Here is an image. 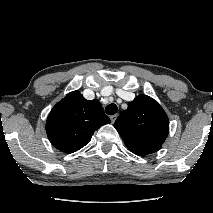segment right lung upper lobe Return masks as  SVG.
Here are the masks:
<instances>
[{"label": "right lung upper lobe", "mask_w": 213, "mask_h": 213, "mask_svg": "<svg viewBox=\"0 0 213 213\" xmlns=\"http://www.w3.org/2000/svg\"><path fill=\"white\" fill-rule=\"evenodd\" d=\"M110 123L97 99L86 100L79 91L67 94L47 118L46 132L52 145L65 153L83 148L94 131Z\"/></svg>", "instance_id": "right-lung-upper-lobe-1"}]
</instances>
